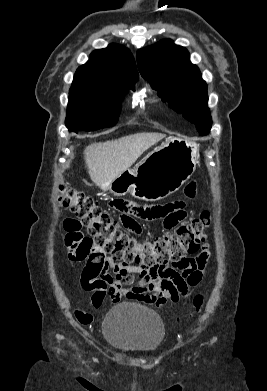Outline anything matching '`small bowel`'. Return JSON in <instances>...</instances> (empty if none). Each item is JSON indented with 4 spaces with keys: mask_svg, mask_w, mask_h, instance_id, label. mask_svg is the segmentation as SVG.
Instances as JSON below:
<instances>
[{
    "mask_svg": "<svg viewBox=\"0 0 267 391\" xmlns=\"http://www.w3.org/2000/svg\"><path fill=\"white\" fill-rule=\"evenodd\" d=\"M196 186L191 182L185 187L188 198L195 196ZM110 208L120 213L121 224L130 232L139 235L142 232L136 217L145 220H162L163 228L171 231L187 219L185 202L177 200L152 207H140L134 203L113 200ZM66 231L65 246L72 261L86 260L82 273V286L93 291L92 305L98 309L103 300L121 297L137 299L146 303L164 306L168 302H177L187 295L190 287L196 286L202 279L203 270L209 258V251L204 247L195 257L185 258L179 265L165 266L157 272H149L141 266H125L104 254L97 252L83 254L77 247L75 238L83 235L78 220L67 218L63 223ZM79 322L90 323L92 317L84 311H76Z\"/></svg>",
    "mask_w": 267,
    "mask_h": 391,
    "instance_id": "c3829d8e",
    "label": "small bowel"
}]
</instances>
